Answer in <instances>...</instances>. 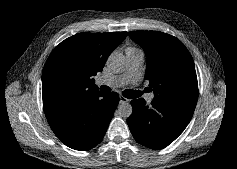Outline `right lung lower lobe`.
Returning a JSON list of instances; mask_svg holds the SVG:
<instances>
[{"instance_id":"right-lung-lower-lobe-1","label":"right lung lower lobe","mask_w":237,"mask_h":169,"mask_svg":"<svg viewBox=\"0 0 237 169\" xmlns=\"http://www.w3.org/2000/svg\"><path fill=\"white\" fill-rule=\"evenodd\" d=\"M118 103L117 93L103 95L94 90L54 112L47 120L65 145L75 150H88L103 139Z\"/></svg>"}]
</instances>
